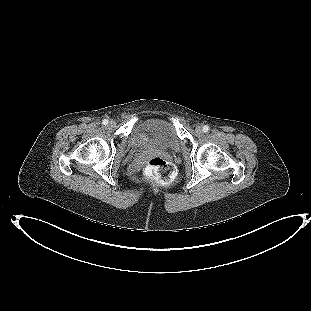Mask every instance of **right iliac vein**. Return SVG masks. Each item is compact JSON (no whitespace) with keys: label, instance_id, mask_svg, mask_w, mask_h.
<instances>
[{"label":"right iliac vein","instance_id":"obj_1","mask_svg":"<svg viewBox=\"0 0 311 311\" xmlns=\"http://www.w3.org/2000/svg\"><path fill=\"white\" fill-rule=\"evenodd\" d=\"M109 127H110L111 129H114V128L116 127V122L113 121V120H111V121L109 122Z\"/></svg>","mask_w":311,"mask_h":311}]
</instances>
